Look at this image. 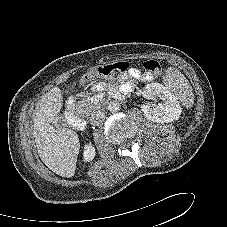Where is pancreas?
Returning a JSON list of instances; mask_svg holds the SVG:
<instances>
[{
  "mask_svg": "<svg viewBox=\"0 0 227 227\" xmlns=\"http://www.w3.org/2000/svg\"><path fill=\"white\" fill-rule=\"evenodd\" d=\"M97 106H98L97 104H93L89 100L79 101L76 104L77 109L85 114L92 112L93 110H95L97 108Z\"/></svg>",
  "mask_w": 227,
  "mask_h": 227,
  "instance_id": "obj_1",
  "label": "pancreas"
}]
</instances>
